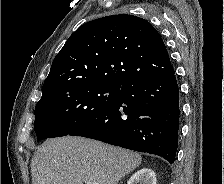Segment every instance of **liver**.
<instances>
[{"label": "liver", "mask_w": 224, "mask_h": 184, "mask_svg": "<svg viewBox=\"0 0 224 184\" xmlns=\"http://www.w3.org/2000/svg\"><path fill=\"white\" fill-rule=\"evenodd\" d=\"M142 162L138 153L82 137L45 141L31 161L32 184H117Z\"/></svg>", "instance_id": "obj_1"}]
</instances>
